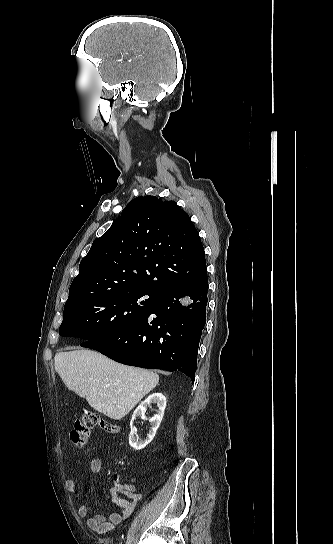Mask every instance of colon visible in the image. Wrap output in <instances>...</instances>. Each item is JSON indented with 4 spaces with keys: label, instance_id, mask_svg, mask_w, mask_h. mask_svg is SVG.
Segmentation results:
<instances>
[{
    "label": "colon",
    "instance_id": "1",
    "mask_svg": "<svg viewBox=\"0 0 333 544\" xmlns=\"http://www.w3.org/2000/svg\"><path fill=\"white\" fill-rule=\"evenodd\" d=\"M95 427H100L109 434H118L119 426L114 421L106 419L93 411H85L75 422L70 433V440L76 449L83 448Z\"/></svg>",
    "mask_w": 333,
    "mask_h": 544
}]
</instances>
